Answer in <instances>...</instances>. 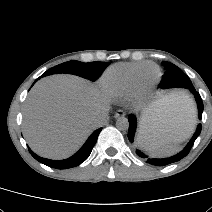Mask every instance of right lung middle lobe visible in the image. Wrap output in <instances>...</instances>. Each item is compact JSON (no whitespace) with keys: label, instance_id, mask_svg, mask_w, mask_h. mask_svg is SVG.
Segmentation results:
<instances>
[{"label":"right lung middle lobe","instance_id":"right-lung-middle-lobe-1","mask_svg":"<svg viewBox=\"0 0 212 212\" xmlns=\"http://www.w3.org/2000/svg\"><path fill=\"white\" fill-rule=\"evenodd\" d=\"M107 66V62L83 63L80 61L73 60L57 65L49 69L45 73H47V75L58 73L74 74L89 79L91 81H95L97 79L98 74L102 73Z\"/></svg>","mask_w":212,"mask_h":212}]
</instances>
